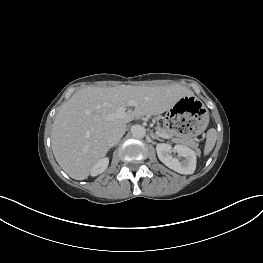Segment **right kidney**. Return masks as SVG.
Instances as JSON below:
<instances>
[{"label":"right kidney","mask_w":263,"mask_h":263,"mask_svg":"<svg viewBox=\"0 0 263 263\" xmlns=\"http://www.w3.org/2000/svg\"><path fill=\"white\" fill-rule=\"evenodd\" d=\"M109 164V159L108 158H102L100 159L91 169V175L92 176H97L101 173H103Z\"/></svg>","instance_id":"1"}]
</instances>
